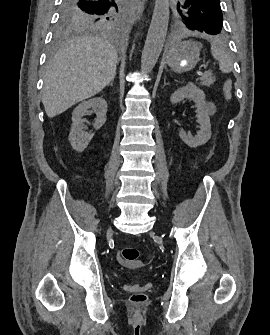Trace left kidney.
<instances>
[{
  "mask_svg": "<svg viewBox=\"0 0 270 335\" xmlns=\"http://www.w3.org/2000/svg\"><path fill=\"white\" fill-rule=\"evenodd\" d=\"M184 98H188V100H193L196 104V112H197V122L200 124L198 128H200L199 132H197V136L193 138L191 134H186V132H179V136L189 148H197V146H203L206 144L208 140L211 138V124L210 118L208 116L206 102H205V94L202 90H199L195 84L192 82H188L187 86L184 88H178L177 92H174L170 98V102L172 104H179L181 100Z\"/></svg>",
  "mask_w": 270,
  "mask_h": 335,
  "instance_id": "left-kidney-1",
  "label": "left kidney"
}]
</instances>
